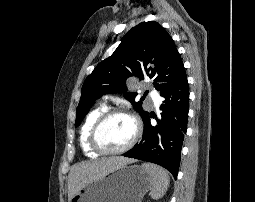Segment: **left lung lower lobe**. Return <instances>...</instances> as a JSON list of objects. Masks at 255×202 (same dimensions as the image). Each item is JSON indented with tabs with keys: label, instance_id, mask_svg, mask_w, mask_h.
Masks as SVG:
<instances>
[{
	"label": "left lung lower lobe",
	"instance_id": "obj_1",
	"mask_svg": "<svg viewBox=\"0 0 255 202\" xmlns=\"http://www.w3.org/2000/svg\"><path fill=\"white\" fill-rule=\"evenodd\" d=\"M160 95L164 101L160 107V118L156 117L158 125H151L152 116L147 113L143 118L142 140L123 155L161 165L176 179L189 111L186 73L184 72L173 86Z\"/></svg>",
	"mask_w": 255,
	"mask_h": 202
}]
</instances>
